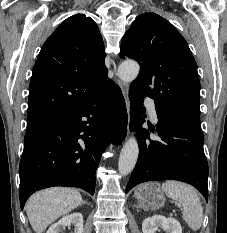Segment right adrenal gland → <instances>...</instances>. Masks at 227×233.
Wrapping results in <instances>:
<instances>
[{
	"label": "right adrenal gland",
	"mask_w": 227,
	"mask_h": 233,
	"mask_svg": "<svg viewBox=\"0 0 227 233\" xmlns=\"http://www.w3.org/2000/svg\"><path fill=\"white\" fill-rule=\"evenodd\" d=\"M82 203H83V204H87V205H89V203H88V202H86V201H83Z\"/></svg>",
	"instance_id": "right-adrenal-gland-1"
}]
</instances>
